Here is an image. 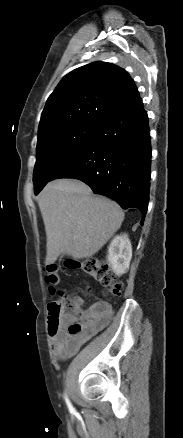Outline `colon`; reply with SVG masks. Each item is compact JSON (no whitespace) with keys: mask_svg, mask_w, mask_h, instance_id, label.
<instances>
[{"mask_svg":"<svg viewBox=\"0 0 183 438\" xmlns=\"http://www.w3.org/2000/svg\"><path fill=\"white\" fill-rule=\"evenodd\" d=\"M68 268L81 269L85 273L91 275L97 280L110 295H118L122 290V284L117 280L111 268L104 262L94 258L88 257L81 260H69L66 263ZM46 283L49 286L50 292L56 290L59 283V276L55 266H49L46 270ZM80 298L70 296L62 291L58 300L51 301L48 304V326L49 332L55 333L62 321L66 317H71L67 326V331L70 335L76 336L83 330L81 323L84 317L80 309Z\"/></svg>","mask_w":183,"mask_h":438,"instance_id":"colon-1","label":"colon"}]
</instances>
